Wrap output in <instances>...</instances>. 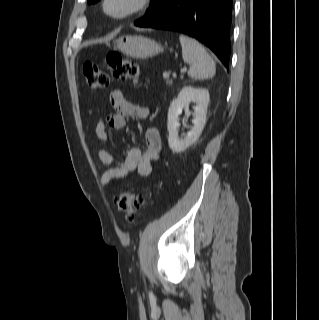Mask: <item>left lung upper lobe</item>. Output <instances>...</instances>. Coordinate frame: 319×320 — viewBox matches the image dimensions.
<instances>
[{
	"instance_id": "obj_1",
	"label": "left lung upper lobe",
	"mask_w": 319,
	"mask_h": 320,
	"mask_svg": "<svg viewBox=\"0 0 319 320\" xmlns=\"http://www.w3.org/2000/svg\"><path fill=\"white\" fill-rule=\"evenodd\" d=\"M89 4L91 3H96L98 2L99 0H87ZM163 0H151V3H150V7L151 9H148L146 11V14L147 15L148 13H150L151 10L155 9Z\"/></svg>"
}]
</instances>
